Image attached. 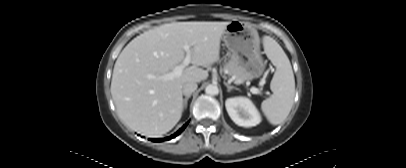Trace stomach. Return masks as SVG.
<instances>
[{"instance_id": "1", "label": "stomach", "mask_w": 406, "mask_h": 168, "mask_svg": "<svg viewBox=\"0 0 406 168\" xmlns=\"http://www.w3.org/2000/svg\"><path fill=\"white\" fill-rule=\"evenodd\" d=\"M223 41L231 52V62L239 65L248 79L263 74L265 65L260 38L252 25L237 20L229 22L223 33Z\"/></svg>"}]
</instances>
